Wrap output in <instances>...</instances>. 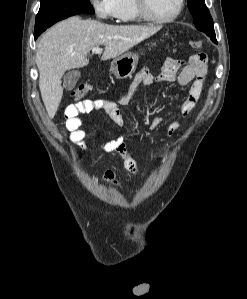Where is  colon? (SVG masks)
<instances>
[{"label":"colon","instance_id":"colon-1","mask_svg":"<svg viewBox=\"0 0 247 299\" xmlns=\"http://www.w3.org/2000/svg\"><path fill=\"white\" fill-rule=\"evenodd\" d=\"M189 44L194 49H200L203 46V42L201 40H192ZM89 90V84L82 82L72 91L71 94L75 99H81L89 92Z\"/></svg>","mask_w":247,"mask_h":299}]
</instances>
